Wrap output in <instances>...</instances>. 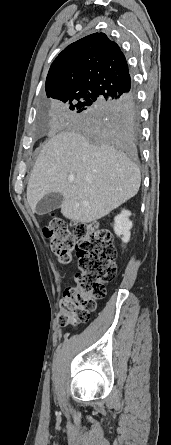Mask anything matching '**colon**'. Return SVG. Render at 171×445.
<instances>
[{"instance_id":"colon-1","label":"colon","mask_w":171,"mask_h":445,"mask_svg":"<svg viewBox=\"0 0 171 445\" xmlns=\"http://www.w3.org/2000/svg\"><path fill=\"white\" fill-rule=\"evenodd\" d=\"M43 234L62 265L70 263L74 250L78 257L79 272L75 284L63 291L58 323L62 327L85 323L96 301L106 296L105 282L116 274L111 233L97 222L78 224L71 230L61 219L52 218Z\"/></svg>"}]
</instances>
